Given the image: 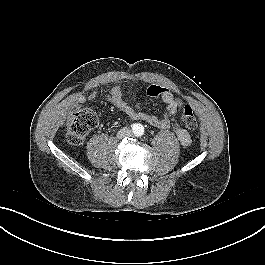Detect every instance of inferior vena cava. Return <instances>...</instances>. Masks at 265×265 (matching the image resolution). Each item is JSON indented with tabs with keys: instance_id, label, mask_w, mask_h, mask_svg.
Returning <instances> with one entry per match:
<instances>
[{
	"instance_id": "1",
	"label": "inferior vena cava",
	"mask_w": 265,
	"mask_h": 265,
	"mask_svg": "<svg viewBox=\"0 0 265 265\" xmlns=\"http://www.w3.org/2000/svg\"><path fill=\"white\" fill-rule=\"evenodd\" d=\"M133 135L132 131L129 128H122L118 131L117 137L122 139L124 137H131Z\"/></svg>"
}]
</instances>
